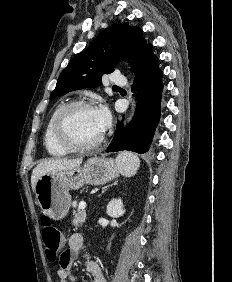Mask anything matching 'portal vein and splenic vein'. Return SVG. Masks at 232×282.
I'll return each instance as SVG.
<instances>
[{
	"label": "portal vein and splenic vein",
	"mask_w": 232,
	"mask_h": 282,
	"mask_svg": "<svg viewBox=\"0 0 232 282\" xmlns=\"http://www.w3.org/2000/svg\"><path fill=\"white\" fill-rule=\"evenodd\" d=\"M85 208H86V202L81 201V202L79 203V209L84 210Z\"/></svg>",
	"instance_id": "obj_1"
}]
</instances>
